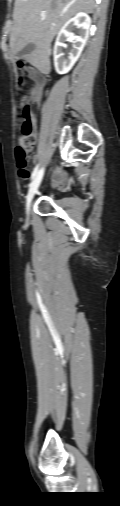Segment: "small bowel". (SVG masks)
<instances>
[{
  "instance_id": "c3829d8e",
  "label": "small bowel",
  "mask_w": 120,
  "mask_h": 506,
  "mask_svg": "<svg viewBox=\"0 0 120 506\" xmlns=\"http://www.w3.org/2000/svg\"><path fill=\"white\" fill-rule=\"evenodd\" d=\"M30 76L33 79V81L35 82L34 87L30 91V98L32 101L39 103L40 99H41L42 89L46 83V76L35 71V70L31 71ZM33 120L35 122L34 117H33ZM56 177L58 180L62 181L63 174L61 172H57Z\"/></svg>"
}]
</instances>
